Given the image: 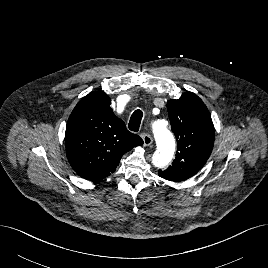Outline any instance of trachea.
Returning a JSON list of instances; mask_svg holds the SVG:
<instances>
[{
	"mask_svg": "<svg viewBox=\"0 0 268 268\" xmlns=\"http://www.w3.org/2000/svg\"><path fill=\"white\" fill-rule=\"evenodd\" d=\"M143 113L141 110H136L130 118L128 128L133 132H138L141 124Z\"/></svg>",
	"mask_w": 268,
	"mask_h": 268,
	"instance_id": "3493384b",
	"label": "trachea"
}]
</instances>
